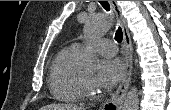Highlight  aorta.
I'll use <instances>...</instances> for the list:
<instances>
[{
  "instance_id": "762f6f07",
  "label": "aorta",
  "mask_w": 171,
  "mask_h": 110,
  "mask_svg": "<svg viewBox=\"0 0 171 110\" xmlns=\"http://www.w3.org/2000/svg\"><path fill=\"white\" fill-rule=\"evenodd\" d=\"M112 20L107 15H93L85 23V33L89 39L97 38L110 30ZM81 67L86 72L93 73L97 68V60L92 52L84 54ZM122 110H139V94L135 86L127 93Z\"/></svg>"
}]
</instances>
